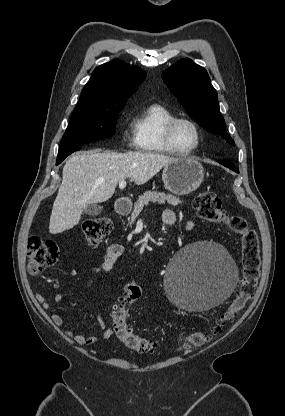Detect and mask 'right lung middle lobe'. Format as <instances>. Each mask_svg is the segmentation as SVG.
Listing matches in <instances>:
<instances>
[{
  "label": "right lung middle lobe",
  "mask_w": 285,
  "mask_h": 416,
  "mask_svg": "<svg viewBox=\"0 0 285 416\" xmlns=\"http://www.w3.org/2000/svg\"><path fill=\"white\" fill-rule=\"evenodd\" d=\"M125 103L102 106L77 105L64 133L61 147L80 145L111 137Z\"/></svg>",
  "instance_id": "1"
}]
</instances>
